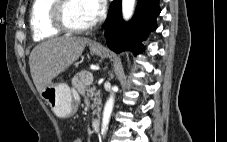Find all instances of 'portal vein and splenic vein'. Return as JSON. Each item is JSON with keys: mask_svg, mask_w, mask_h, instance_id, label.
<instances>
[{"mask_svg": "<svg viewBox=\"0 0 227 142\" xmlns=\"http://www.w3.org/2000/svg\"><path fill=\"white\" fill-rule=\"evenodd\" d=\"M87 82H88V84H92V82H93V74L90 72L87 75Z\"/></svg>", "mask_w": 227, "mask_h": 142, "instance_id": "obj_1", "label": "portal vein and splenic vein"}]
</instances>
